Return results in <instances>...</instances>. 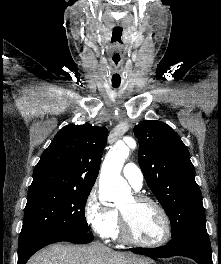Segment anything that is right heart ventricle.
<instances>
[{"label": "right heart ventricle", "mask_w": 221, "mask_h": 264, "mask_svg": "<svg viewBox=\"0 0 221 264\" xmlns=\"http://www.w3.org/2000/svg\"><path fill=\"white\" fill-rule=\"evenodd\" d=\"M113 238L115 239H120L121 238V234H120V228H119V223H118V219H117V224L113 230V233L111 235Z\"/></svg>", "instance_id": "1"}]
</instances>
